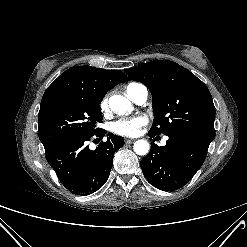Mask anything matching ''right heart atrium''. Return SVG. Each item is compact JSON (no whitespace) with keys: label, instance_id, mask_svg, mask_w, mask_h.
Segmentation results:
<instances>
[{"label":"right heart atrium","instance_id":"obj_1","mask_svg":"<svg viewBox=\"0 0 247 247\" xmlns=\"http://www.w3.org/2000/svg\"><path fill=\"white\" fill-rule=\"evenodd\" d=\"M99 108L102 112H107L108 111V96H104L100 103H99Z\"/></svg>","mask_w":247,"mask_h":247}]
</instances>
